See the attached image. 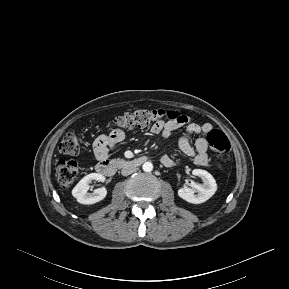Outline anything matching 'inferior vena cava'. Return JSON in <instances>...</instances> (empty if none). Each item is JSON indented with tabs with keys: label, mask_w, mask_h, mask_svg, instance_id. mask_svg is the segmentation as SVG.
I'll return each instance as SVG.
<instances>
[{
	"label": "inferior vena cava",
	"mask_w": 289,
	"mask_h": 289,
	"mask_svg": "<svg viewBox=\"0 0 289 289\" xmlns=\"http://www.w3.org/2000/svg\"><path fill=\"white\" fill-rule=\"evenodd\" d=\"M136 170H137L136 167L128 166V167H125L121 170V174L123 176H128V175L132 174L133 172H135Z\"/></svg>",
	"instance_id": "602c4592"
}]
</instances>
